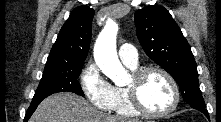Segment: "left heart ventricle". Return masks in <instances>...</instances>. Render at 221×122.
I'll return each mask as SVG.
<instances>
[{
    "mask_svg": "<svg viewBox=\"0 0 221 122\" xmlns=\"http://www.w3.org/2000/svg\"><path fill=\"white\" fill-rule=\"evenodd\" d=\"M139 94L144 105L156 112L169 108L173 100L170 84L158 73L149 74L143 79Z\"/></svg>",
    "mask_w": 221,
    "mask_h": 122,
    "instance_id": "obj_1",
    "label": "left heart ventricle"
}]
</instances>
